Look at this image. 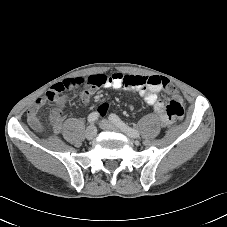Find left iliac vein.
Wrapping results in <instances>:
<instances>
[{"mask_svg": "<svg viewBox=\"0 0 227 227\" xmlns=\"http://www.w3.org/2000/svg\"><path fill=\"white\" fill-rule=\"evenodd\" d=\"M99 126L103 129V130H107V131H119V128L113 124L112 122L103 119L99 122Z\"/></svg>", "mask_w": 227, "mask_h": 227, "instance_id": "obj_1", "label": "left iliac vein"}]
</instances>
